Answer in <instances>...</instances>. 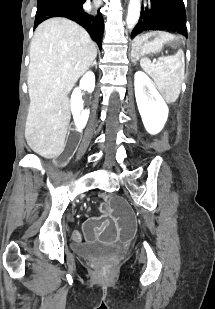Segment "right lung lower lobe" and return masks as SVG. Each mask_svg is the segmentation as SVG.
I'll return each mask as SVG.
<instances>
[{
    "mask_svg": "<svg viewBox=\"0 0 215 309\" xmlns=\"http://www.w3.org/2000/svg\"><path fill=\"white\" fill-rule=\"evenodd\" d=\"M65 0H47L37 6L34 29L43 21L53 17H64L73 20L83 26L101 49L104 32L102 14L91 16L83 11V3Z\"/></svg>",
    "mask_w": 215,
    "mask_h": 309,
    "instance_id": "right-lung-lower-lobe-1",
    "label": "right lung lower lobe"
}]
</instances>
